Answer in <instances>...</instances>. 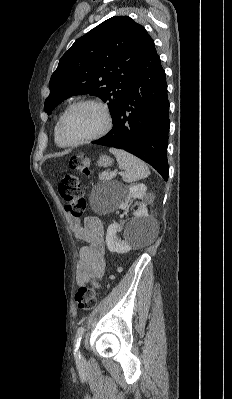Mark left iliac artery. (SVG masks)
Returning a JSON list of instances; mask_svg holds the SVG:
<instances>
[{"label": "left iliac artery", "instance_id": "44dca946", "mask_svg": "<svg viewBox=\"0 0 232 399\" xmlns=\"http://www.w3.org/2000/svg\"><path fill=\"white\" fill-rule=\"evenodd\" d=\"M83 334H84V328L81 326L78 328L76 336H75V340H74L73 354L76 359L81 358V354L79 352V346H80V342H81Z\"/></svg>", "mask_w": 232, "mask_h": 399}]
</instances>
